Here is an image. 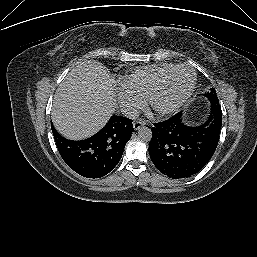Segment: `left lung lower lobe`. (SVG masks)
Returning <instances> with one entry per match:
<instances>
[{"label": "left lung lower lobe", "instance_id": "1", "mask_svg": "<svg viewBox=\"0 0 257 257\" xmlns=\"http://www.w3.org/2000/svg\"><path fill=\"white\" fill-rule=\"evenodd\" d=\"M182 112L155 123L151 128L149 154L156 168L169 178H186L198 173L213 156L222 126L221 106L211 102L209 117L194 126Z\"/></svg>", "mask_w": 257, "mask_h": 257}]
</instances>
